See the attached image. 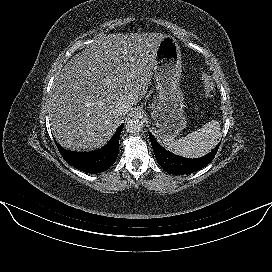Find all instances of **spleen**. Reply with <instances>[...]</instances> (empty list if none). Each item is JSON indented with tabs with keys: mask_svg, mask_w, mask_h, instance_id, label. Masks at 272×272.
Returning a JSON list of instances; mask_svg holds the SVG:
<instances>
[{
	"mask_svg": "<svg viewBox=\"0 0 272 272\" xmlns=\"http://www.w3.org/2000/svg\"><path fill=\"white\" fill-rule=\"evenodd\" d=\"M220 135V123L211 120L183 138L175 140L174 137L169 136L164 137L162 142L167 149L177 155L197 158L211 151L218 143Z\"/></svg>",
	"mask_w": 272,
	"mask_h": 272,
	"instance_id": "1",
	"label": "spleen"
}]
</instances>
